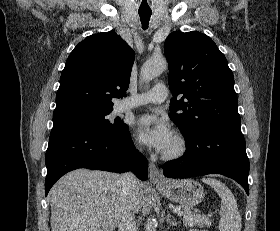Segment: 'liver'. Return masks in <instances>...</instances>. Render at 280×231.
Returning a JSON list of instances; mask_svg holds the SVG:
<instances>
[{"label":"liver","instance_id":"obj_1","mask_svg":"<svg viewBox=\"0 0 280 231\" xmlns=\"http://www.w3.org/2000/svg\"><path fill=\"white\" fill-rule=\"evenodd\" d=\"M119 173L74 169L58 179L49 191L52 231H113L118 225L121 205ZM146 189L144 183L131 185L126 201L138 213Z\"/></svg>","mask_w":280,"mask_h":231}]
</instances>
